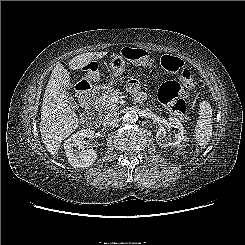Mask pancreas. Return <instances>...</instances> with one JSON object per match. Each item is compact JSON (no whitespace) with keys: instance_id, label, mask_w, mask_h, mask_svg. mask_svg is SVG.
Instances as JSON below:
<instances>
[{"instance_id":"obj_1","label":"pancreas","mask_w":245,"mask_h":245,"mask_svg":"<svg viewBox=\"0 0 245 245\" xmlns=\"http://www.w3.org/2000/svg\"><path fill=\"white\" fill-rule=\"evenodd\" d=\"M120 94L119 90H108L101 98L98 100V107L103 112H113L119 109V105L111 100L112 97L118 96Z\"/></svg>"}]
</instances>
